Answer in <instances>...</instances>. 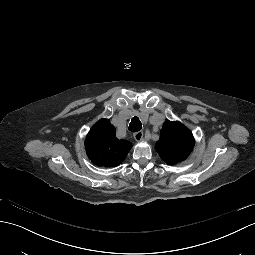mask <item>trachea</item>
Listing matches in <instances>:
<instances>
[{
    "label": "trachea",
    "mask_w": 255,
    "mask_h": 255,
    "mask_svg": "<svg viewBox=\"0 0 255 255\" xmlns=\"http://www.w3.org/2000/svg\"><path fill=\"white\" fill-rule=\"evenodd\" d=\"M142 129V123L140 121V119L136 116H134L132 119H131V122L129 124V130L131 132H138Z\"/></svg>",
    "instance_id": "obj_1"
}]
</instances>
